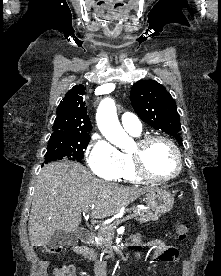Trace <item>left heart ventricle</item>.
<instances>
[{
	"instance_id": "left-heart-ventricle-1",
	"label": "left heart ventricle",
	"mask_w": 221,
	"mask_h": 276,
	"mask_svg": "<svg viewBox=\"0 0 221 276\" xmlns=\"http://www.w3.org/2000/svg\"><path fill=\"white\" fill-rule=\"evenodd\" d=\"M135 149L136 145L132 151ZM145 162L150 173L159 177L171 175L177 168L174 151L166 142L161 140H156L147 146Z\"/></svg>"
}]
</instances>
